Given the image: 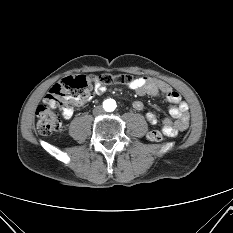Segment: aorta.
Returning a JSON list of instances; mask_svg holds the SVG:
<instances>
[{
	"label": "aorta",
	"mask_w": 233,
	"mask_h": 233,
	"mask_svg": "<svg viewBox=\"0 0 233 233\" xmlns=\"http://www.w3.org/2000/svg\"><path fill=\"white\" fill-rule=\"evenodd\" d=\"M105 108L107 111H113L116 108V103L109 99L105 102Z\"/></svg>",
	"instance_id": "aorta-1"
}]
</instances>
